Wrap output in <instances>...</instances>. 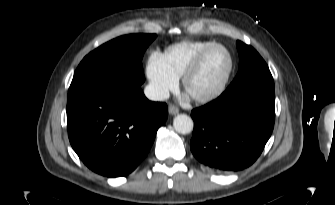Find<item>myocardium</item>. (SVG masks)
Masks as SVG:
<instances>
[{
  "label": "myocardium",
  "mask_w": 335,
  "mask_h": 205,
  "mask_svg": "<svg viewBox=\"0 0 335 205\" xmlns=\"http://www.w3.org/2000/svg\"><path fill=\"white\" fill-rule=\"evenodd\" d=\"M217 48H221L227 53V55L229 57L228 70H227L225 76L223 77V79L221 80V82L212 91H210L207 94L200 95V96L191 95V97L196 102L208 103V102H211V101L215 100L216 98H218L225 91V89H226V87H227V85H228V83H229V81L232 77V74L234 72L235 60H234V56H233L232 52L230 51V49L228 47H226L225 45L221 44V43H213L212 45H210V46L204 48L202 51H200L197 54V56L194 58V60L191 62V64L184 71V73L182 75V86H183L184 90L187 91V86H188L189 80L198 72V70L200 69L204 59L206 58V56L211 51H213L214 49H217Z\"/></svg>",
  "instance_id": "obj_1"
}]
</instances>
